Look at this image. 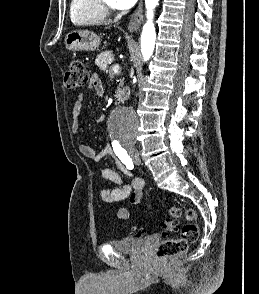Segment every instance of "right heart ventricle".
<instances>
[{"label": "right heart ventricle", "mask_w": 259, "mask_h": 294, "mask_svg": "<svg viewBox=\"0 0 259 294\" xmlns=\"http://www.w3.org/2000/svg\"><path fill=\"white\" fill-rule=\"evenodd\" d=\"M70 18L75 25H97L104 22L106 14L99 0H71Z\"/></svg>", "instance_id": "1"}]
</instances>
